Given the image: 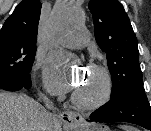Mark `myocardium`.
<instances>
[{
	"label": "myocardium",
	"instance_id": "myocardium-1",
	"mask_svg": "<svg viewBox=\"0 0 151 131\" xmlns=\"http://www.w3.org/2000/svg\"><path fill=\"white\" fill-rule=\"evenodd\" d=\"M90 71L97 73L101 80L102 86L100 91L92 98H83L77 94H73L71 99L73 103L84 110H95L104 106L111 98L113 92V81L108 69L99 64H90Z\"/></svg>",
	"mask_w": 151,
	"mask_h": 131
}]
</instances>
